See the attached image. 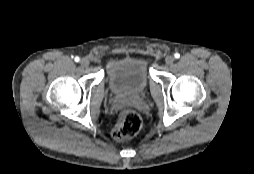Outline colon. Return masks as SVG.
<instances>
[{
    "label": "colon",
    "instance_id": "1",
    "mask_svg": "<svg viewBox=\"0 0 254 174\" xmlns=\"http://www.w3.org/2000/svg\"><path fill=\"white\" fill-rule=\"evenodd\" d=\"M141 127V117L135 111L127 109L121 113L112 134L116 140L124 141L135 136Z\"/></svg>",
    "mask_w": 254,
    "mask_h": 174
}]
</instances>
